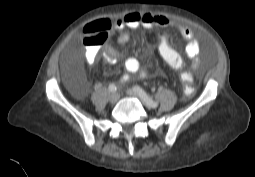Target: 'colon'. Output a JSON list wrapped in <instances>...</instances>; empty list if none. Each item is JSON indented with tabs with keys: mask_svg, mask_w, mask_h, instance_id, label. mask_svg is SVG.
<instances>
[{
	"mask_svg": "<svg viewBox=\"0 0 255 177\" xmlns=\"http://www.w3.org/2000/svg\"><path fill=\"white\" fill-rule=\"evenodd\" d=\"M110 26L111 24L107 20H98L87 24L84 28V40L87 45L104 44L108 39ZM154 39L155 49L160 54L162 62L175 70L179 83L185 86V94L192 96L196 90V86L193 83V74L190 72L185 59L180 55L178 48L168 40V33L166 31H157Z\"/></svg>",
	"mask_w": 255,
	"mask_h": 177,
	"instance_id": "5ec220e1",
	"label": "colon"
}]
</instances>
